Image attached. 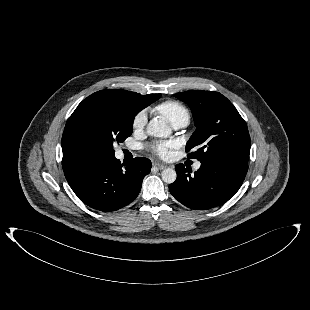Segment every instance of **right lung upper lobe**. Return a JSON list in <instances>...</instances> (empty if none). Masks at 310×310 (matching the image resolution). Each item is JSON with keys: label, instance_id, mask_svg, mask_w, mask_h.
I'll use <instances>...</instances> for the list:
<instances>
[{"label": "right lung upper lobe", "instance_id": "cb5924a9", "mask_svg": "<svg viewBox=\"0 0 310 310\" xmlns=\"http://www.w3.org/2000/svg\"><path fill=\"white\" fill-rule=\"evenodd\" d=\"M160 96L161 94L140 95L127 90L107 89L93 93L87 97V100L96 98L110 99L125 105L133 114L136 115L139 111L155 102Z\"/></svg>", "mask_w": 310, "mask_h": 310}]
</instances>
